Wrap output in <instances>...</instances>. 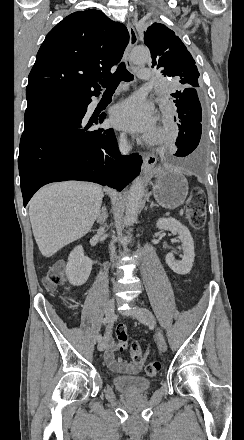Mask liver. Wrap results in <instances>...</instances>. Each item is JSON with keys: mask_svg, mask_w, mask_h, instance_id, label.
I'll return each mask as SVG.
<instances>
[{"mask_svg": "<svg viewBox=\"0 0 244 440\" xmlns=\"http://www.w3.org/2000/svg\"><path fill=\"white\" fill-rule=\"evenodd\" d=\"M101 186L88 182H56L44 186L29 202L36 244L45 258L90 232L100 212Z\"/></svg>", "mask_w": 244, "mask_h": 440, "instance_id": "liver-1", "label": "liver"}]
</instances>
